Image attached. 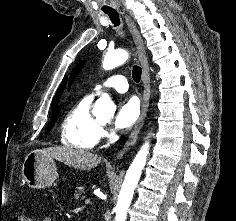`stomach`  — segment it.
<instances>
[{
  "label": "stomach",
  "instance_id": "stomach-1",
  "mask_svg": "<svg viewBox=\"0 0 236 221\" xmlns=\"http://www.w3.org/2000/svg\"><path fill=\"white\" fill-rule=\"evenodd\" d=\"M22 177L31 188H46L52 186L58 173L52 157L42 150L30 152L22 165Z\"/></svg>",
  "mask_w": 236,
  "mask_h": 221
}]
</instances>
